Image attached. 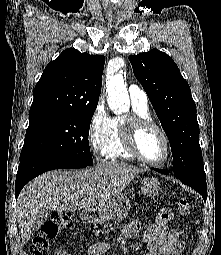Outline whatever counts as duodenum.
I'll list each match as a JSON object with an SVG mask.
<instances>
[{"label": "duodenum", "mask_w": 221, "mask_h": 255, "mask_svg": "<svg viewBox=\"0 0 221 255\" xmlns=\"http://www.w3.org/2000/svg\"><path fill=\"white\" fill-rule=\"evenodd\" d=\"M85 218H86V219H91V218H93V217H92L90 214H87V213H86V214H85Z\"/></svg>", "instance_id": "obj_1"}]
</instances>
